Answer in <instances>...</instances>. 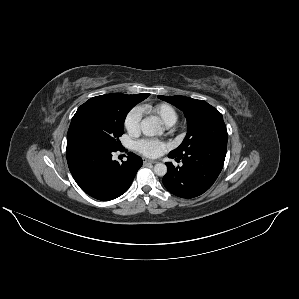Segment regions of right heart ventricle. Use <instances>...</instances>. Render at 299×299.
Listing matches in <instances>:
<instances>
[{"label": "right heart ventricle", "instance_id": "right-heart-ventricle-1", "mask_svg": "<svg viewBox=\"0 0 299 299\" xmlns=\"http://www.w3.org/2000/svg\"><path fill=\"white\" fill-rule=\"evenodd\" d=\"M142 108L156 116L167 127L172 126L178 118L175 108L167 103H158L152 106L144 105Z\"/></svg>", "mask_w": 299, "mask_h": 299}]
</instances>
